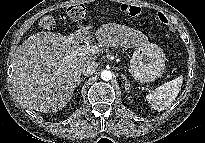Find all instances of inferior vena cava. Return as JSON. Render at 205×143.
I'll list each match as a JSON object with an SVG mask.
<instances>
[{
  "label": "inferior vena cava",
  "instance_id": "602c4592",
  "mask_svg": "<svg viewBox=\"0 0 205 143\" xmlns=\"http://www.w3.org/2000/svg\"><path fill=\"white\" fill-rule=\"evenodd\" d=\"M98 68V63L95 61L87 62L82 68V74L86 77L93 75Z\"/></svg>",
  "mask_w": 205,
  "mask_h": 143
}]
</instances>
